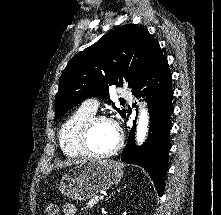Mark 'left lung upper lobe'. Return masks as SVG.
<instances>
[{
	"label": "left lung upper lobe",
	"instance_id": "left-lung-upper-lobe-1",
	"mask_svg": "<svg viewBox=\"0 0 221 215\" xmlns=\"http://www.w3.org/2000/svg\"><path fill=\"white\" fill-rule=\"evenodd\" d=\"M164 58L159 43L140 26L127 24L107 33L64 69L55 98V118L86 98H106L111 85L127 83L133 90ZM115 109L126 116L124 110Z\"/></svg>",
	"mask_w": 221,
	"mask_h": 215
}]
</instances>
